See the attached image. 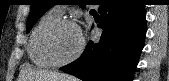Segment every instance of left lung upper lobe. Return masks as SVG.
<instances>
[{
  "instance_id": "left-lung-upper-lobe-1",
  "label": "left lung upper lobe",
  "mask_w": 169,
  "mask_h": 81,
  "mask_svg": "<svg viewBox=\"0 0 169 81\" xmlns=\"http://www.w3.org/2000/svg\"><path fill=\"white\" fill-rule=\"evenodd\" d=\"M52 6H54V0H31V11L27 19V33L36 21Z\"/></svg>"
}]
</instances>
